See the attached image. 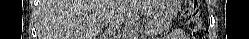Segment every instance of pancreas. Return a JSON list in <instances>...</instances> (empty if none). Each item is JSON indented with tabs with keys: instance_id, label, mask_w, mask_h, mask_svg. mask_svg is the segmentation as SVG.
<instances>
[{
	"instance_id": "cf45deb5",
	"label": "pancreas",
	"mask_w": 249,
	"mask_h": 39,
	"mask_svg": "<svg viewBox=\"0 0 249 39\" xmlns=\"http://www.w3.org/2000/svg\"><path fill=\"white\" fill-rule=\"evenodd\" d=\"M170 26V23L167 21L152 19L147 25V30L153 36L162 33L164 30H169Z\"/></svg>"
}]
</instances>
